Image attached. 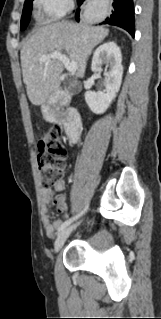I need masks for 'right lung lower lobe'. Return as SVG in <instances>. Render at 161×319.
I'll return each instance as SVG.
<instances>
[{
    "mask_svg": "<svg viewBox=\"0 0 161 319\" xmlns=\"http://www.w3.org/2000/svg\"><path fill=\"white\" fill-rule=\"evenodd\" d=\"M84 0H77L78 6L83 3ZM112 13L105 19L103 24H110L122 27L128 31L134 37V7L133 0H113ZM80 9L75 11V18L79 21Z\"/></svg>",
    "mask_w": 161,
    "mask_h": 319,
    "instance_id": "obj_1",
    "label": "right lung lower lobe"
}]
</instances>
